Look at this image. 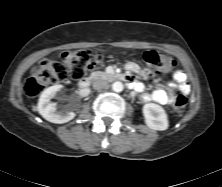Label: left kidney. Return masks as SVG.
Instances as JSON below:
<instances>
[{"label": "left kidney", "mask_w": 222, "mask_h": 187, "mask_svg": "<svg viewBox=\"0 0 222 187\" xmlns=\"http://www.w3.org/2000/svg\"><path fill=\"white\" fill-rule=\"evenodd\" d=\"M143 115L146 125L153 129L163 131L168 128V117L164 108L155 103H147L143 106Z\"/></svg>", "instance_id": "5707ae66"}]
</instances>
